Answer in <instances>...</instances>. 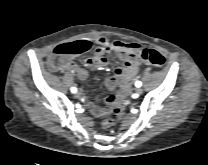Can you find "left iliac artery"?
<instances>
[{
    "mask_svg": "<svg viewBox=\"0 0 208 165\" xmlns=\"http://www.w3.org/2000/svg\"><path fill=\"white\" fill-rule=\"evenodd\" d=\"M135 85H136V87H140V86L142 85V83H141L140 81H137V82L135 83Z\"/></svg>",
    "mask_w": 208,
    "mask_h": 165,
    "instance_id": "1",
    "label": "left iliac artery"
}]
</instances>
